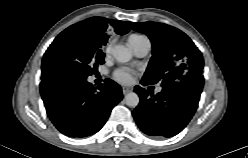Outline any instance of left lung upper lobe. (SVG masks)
Masks as SVG:
<instances>
[{
    "instance_id": "obj_1",
    "label": "left lung upper lobe",
    "mask_w": 248,
    "mask_h": 158,
    "mask_svg": "<svg viewBox=\"0 0 248 158\" xmlns=\"http://www.w3.org/2000/svg\"><path fill=\"white\" fill-rule=\"evenodd\" d=\"M127 24L152 42V58L142 81L162 87L179 82L204 83L202 53L181 30L158 22Z\"/></svg>"
}]
</instances>
